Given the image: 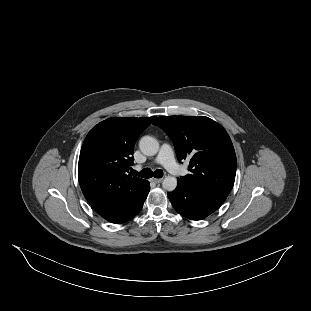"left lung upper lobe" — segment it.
I'll return each instance as SVG.
<instances>
[{
	"instance_id": "1",
	"label": "left lung upper lobe",
	"mask_w": 311,
	"mask_h": 311,
	"mask_svg": "<svg viewBox=\"0 0 311 311\" xmlns=\"http://www.w3.org/2000/svg\"><path fill=\"white\" fill-rule=\"evenodd\" d=\"M172 140L178 160L190 158L191 174L178 183L228 196L235 181L236 155L225 129L204 116H161L153 123Z\"/></svg>"
}]
</instances>
